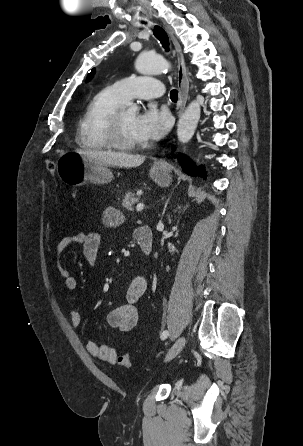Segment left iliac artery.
Returning a JSON list of instances; mask_svg holds the SVG:
<instances>
[{"label": "left iliac artery", "instance_id": "44dca946", "mask_svg": "<svg viewBox=\"0 0 303 446\" xmlns=\"http://www.w3.org/2000/svg\"><path fill=\"white\" fill-rule=\"evenodd\" d=\"M168 335H169V332L167 330H165V331L162 332L160 338L162 340H164V339H166L168 337Z\"/></svg>", "mask_w": 303, "mask_h": 446}]
</instances>
